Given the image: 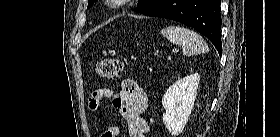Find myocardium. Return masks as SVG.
<instances>
[{
	"instance_id": "myocardium-1",
	"label": "myocardium",
	"mask_w": 280,
	"mask_h": 137,
	"mask_svg": "<svg viewBox=\"0 0 280 137\" xmlns=\"http://www.w3.org/2000/svg\"><path fill=\"white\" fill-rule=\"evenodd\" d=\"M110 2L121 3V2H125V1L124 0H111Z\"/></svg>"
}]
</instances>
